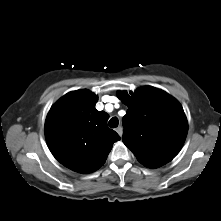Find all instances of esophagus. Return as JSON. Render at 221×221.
<instances>
[{
	"label": "esophagus",
	"instance_id": "1",
	"mask_svg": "<svg viewBox=\"0 0 221 221\" xmlns=\"http://www.w3.org/2000/svg\"><path fill=\"white\" fill-rule=\"evenodd\" d=\"M116 132L118 133V135L121 137L123 134V128L121 126L116 128Z\"/></svg>",
	"mask_w": 221,
	"mask_h": 221
}]
</instances>
